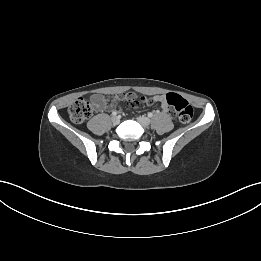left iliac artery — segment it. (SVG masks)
<instances>
[{
  "label": "left iliac artery",
  "instance_id": "left-iliac-artery-1",
  "mask_svg": "<svg viewBox=\"0 0 261 261\" xmlns=\"http://www.w3.org/2000/svg\"><path fill=\"white\" fill-rule=\"evenodd\" d=\"M148 117H150V118L153 117V113H151V112L148 113Z\"/></svg>",
  "mask_w": 261,
  "mask_h": 261
}]
</instances>
